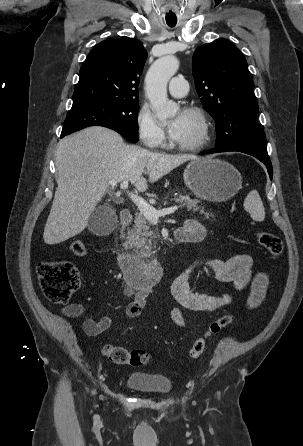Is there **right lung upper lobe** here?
I'll return each instance as SVG.
<instances>
[{
	"mask_svg": "<svg viewBox=\"0 0 303 446\" xmlns=\"http://www.w3.org/2000/svg\"><path fill=\"white\" fill-rule=\"evenodd\" d=\"M146 58L143 44L135 38H110L97 44L80 69L72 108L108 101H138L139 76Z\"/></svg>",
	"mask_w": 303,
	"mask_h": 446,
	"instance_id": "right-lung-upper-lobe-1",
	"label": "right lung upper lobe"
}]
</instances>
